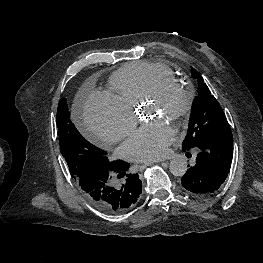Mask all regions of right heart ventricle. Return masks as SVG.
<instances>
[{
  "label": "right heart ventricle",
  "instance_id": "e07e8e85",
  "mask_svg": "<svg viewBox=\"0 0 263 263\" xmlns=\"http://www.w3.org/2000/svg\"><path fill=\"white\" fill-rule=\"evenodd\" d=\"M174 77L173 71L155 62H131L118 69L110 77L111 95L121 104L133 110L150 89L162 78Z\"/></svg>",
  "mask_w": 263,
  "mask_h": 263
}]
</instances>
